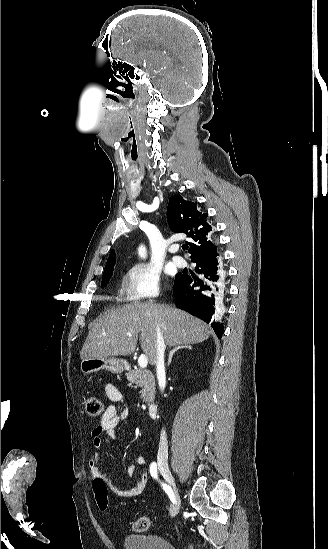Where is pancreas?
I'll list each match as a JSON object with an SVG mask.
<instances>
[{"instance_id":"1","label":"pancreas","mask_w":328,"mask_h":549,"mask_svg":"<svg viewBox=\"0 0 328 549\" xmlns=\"http://www.w3.org/2000/svg\"><path fill=\"white\" fill-rule=\"evenodd\" d=\"M127 381H130V383H135L137 387H142L141 391V399L143 403H152L154 397H155V379L154 375L150 373V371H147V369H141V367H137V369H133V371H129V373H126Z\"/></svg>"}]
</instances>
